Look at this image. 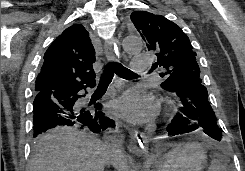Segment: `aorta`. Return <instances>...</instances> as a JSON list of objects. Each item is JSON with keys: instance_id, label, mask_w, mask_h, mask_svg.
<instances>
[{"instance_id": "obj_1", "label": "aorta", "mask_w": 245, "mask_h": 171, "mask_svg": "<svg viewBox=\"0 0 245 171\" xmlns=\"http://www.w3.org/2000/svg\"><path fill=\"white\" fill-rule=\"evenodd\" d=\"M122 46L127 53H137L141 51L143 43L139 37L127 36L123 39Z\"/></svg>"}]
</instances>
